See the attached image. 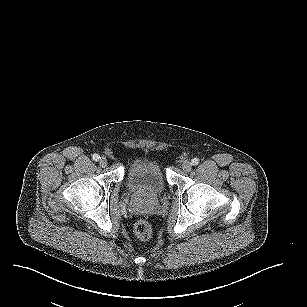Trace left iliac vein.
<instances>
[{
    "label": "left iliac vein",
    "instance_id": "left-iliac-vein-1",
    "mask_svg": "<svg viewBox=\"0 0 307 307\" xmlns=\"http://www.w3.org/2000/svg\"><path fill=\"white\" fill-rule=\"evenodd\" d=\"M192 168V164L190 162H184L182 165V169L186 172H189Z\"/></svg>",
    "mask_w": 307,
    "mask_h": 307
}]
</instances>
